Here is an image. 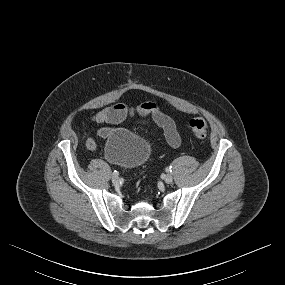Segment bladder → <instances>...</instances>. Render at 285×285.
<instances>
[{"instance_id":"bladder-1","label":"bladder","mask_w":285,"mask_h":285,"mask_svg":"<svg viewBox=\"0 0 285 285\" xmlns=\"http://www.w3.org/2000/svg\"><path fill=\"white\" fill-rule=\"evenodd\" d=\"M106 158L125 168L144 164L151 154L150 144L139 135L126 129H109L105 138Z\"/></svg>"}]
</instances>
